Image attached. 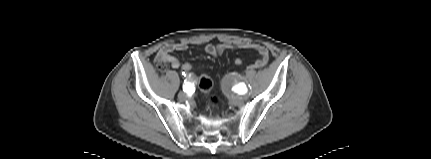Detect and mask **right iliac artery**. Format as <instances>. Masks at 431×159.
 <instances>
[{"label": "right iliac artery", "mask_w": 431, "mask_h": 159, "mask_svg": "<svg viewBox=\"0 0 431 159\" xmlns=\"http://www.w3.org/2000/svg\"><path fill=\"white\" fill-rule=\"evenodd\" d=\"M183 90L186 93H191L194 90V85L189 81H185L183 85Z\"/></svg>", "instance_id": "82829eb1"}]
</instances>
